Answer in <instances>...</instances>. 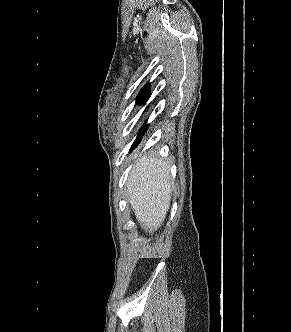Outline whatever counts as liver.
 I'll return each instance as SVG.
<instances>
[{
    "instance_id": "obj_1",
    "label": "liver",
    "mask_w": 291,
    "mask_h": 332,
    "mask_svg": "<svg viewBox=\"0 0 291 332\" xmlns=\"http://www.w3.org/2000/svg\"><path fill=\"white\" fill-rule=\"evenodd\" d=\"M127 193L141 226L151 233L161 227L171 200L168 162L150 152L137 159L128 177Z\"/></svg>"
}]
</instances>
